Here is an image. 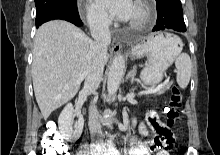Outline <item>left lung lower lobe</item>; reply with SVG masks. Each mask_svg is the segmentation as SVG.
I'll return each mask as SVG.
<instances>
[{"label": "left lung lower lobe", "mask_w": 220, "mask_h": 155, "mask_svg": "<svg viewBox=\"0 0 220 155\" xmlns=\"http://www.w3.org/2000/svg\"><path fill=\"white\" fill-rule=\"evenodd\" d=\"M157 21L152 31L173 29L186 31L180 0H157Z\"/></svg>", "instance_id": "0a47b994"}]
</instances>
